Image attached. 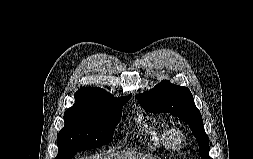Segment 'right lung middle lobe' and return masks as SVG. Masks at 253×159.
<instances>
[{"label": "right lung middle lobe", "instance_id": "right-lung-middle-lobe-1", "mask_svg": "<svg viewBox=\"0 0 253 159\" xmlns=\"http://www.w3.org/2000/svg\"><path fill=\"white\" fill-rule=\"evenodd\" d=\"M75 103L64 114V128L57 137L55 159H71L77 152L103 146L112 141L113 132L128 102Z\"/></svg>", "mask_w": 253, "mask_h": 159}]
</instances>
